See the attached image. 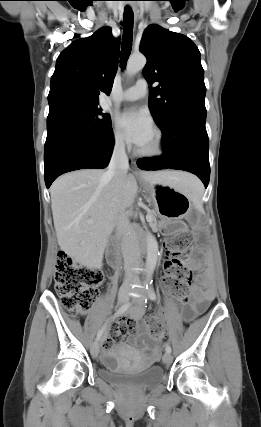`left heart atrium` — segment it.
Returning a JSON list of instances; mask_svg holds the SVG:
<instances>
[{
  "mask_svg": "<svg viewBox=\"0 0 261 427\" xmlns=\"http://www.w3.org/2000/svg\"><path fill=\"white\" fill-rule=\"evenodd\" d=\"M116 122L127 141L139 148L147 142L153 132L152 121L143 110H126L117 116Z\"/></svg>",
  "mask_w": 261,
  "mask_h": 427,
  "instance_id": "obj_1",
  "label": "left heart atrium"
}]
</instances>
